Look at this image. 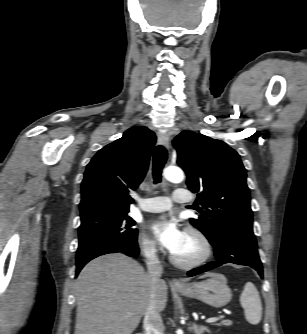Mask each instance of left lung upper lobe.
Segmentation results:
<instances>
[{
  "label": "left lung upper lobe",
  "mask_w": 307,
  "mask_h": 334,
  "mask_svg": "<svg viewBox=\"0 0 307 334\" xmlns=\"http://www.w3.org/2000/svg\"><path fill=\"white\" fill-rule=\"evenodd\" d=\"M173 145L188 188L199 192L205 209L191 224L210 242L219 237L223 226L252 227L250 191L239 154L221 140L189 131L176 136Z\"/></svg>",
  "instance_id": "obj_1"
}]
</instances>
